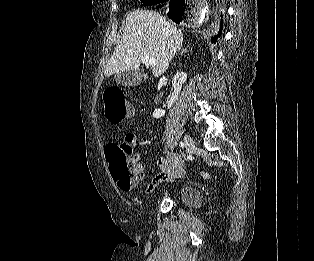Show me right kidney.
Segmentation results:
<instances>
[{"mask_svg": "<svg viewBox=\"0 0 314 261\" xmlns=\"http://www.w3.org/2000/svg\"><path fill=\"white\" fill-rule=\"evenodd\" d=\"M187 74L184 72H178L172 79V86L174 92L170 95V99L167 104V108L170 109L175 101L178 99L179 93L182 89L183 84L186 82ZM165 115V110L155 109L153 112V117L159 119Z\"/></svg>", "mask_w": 314, "mask_h": 261, "instance_id": "ca27d5eb", "label": "right kidney"}]
</instances>
